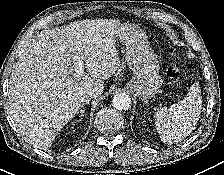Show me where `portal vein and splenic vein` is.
Segmentation results:
<instances>
[{
  "instance_id": "portal-vein-and-splenic-vein-1",
  "label": "portal vein and splenic vein",
  "mask_w": 224,
  "mask_h": 175,
  "mask_svg": "<svg viewBox=\"0 0 224 175\" xmlns=\"http://www.w3.org/2000/svg\"><path fill=\"white\" fill-rule=\"evenodd\" d=\"M84 76V69L82 67H80L76 73H75V77H82Z\"/></svg>"
}]
</instances>
